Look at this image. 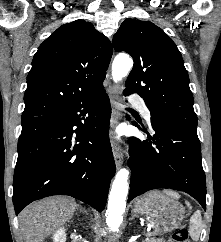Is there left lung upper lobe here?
<instances>
[{
	"mask_svg": "<svg viewBox=\"0 0 221 242\" xmlns=\"http://www.w3.org/2000/svg\"><path fill=\"white\" fill-rule=\"evenodd\" d=\"M116 51L134 60L124 90L138 93L151 112L163 120L197 127L193 95L182 56L175 43L150 21L127 18L113 37Z\"/></svg>",
	"mask_w": 221,
	"mask_h": 242,
	"instance_id": "obj_1",
	"label": "left lung upper lobe"
}]
</instances>
